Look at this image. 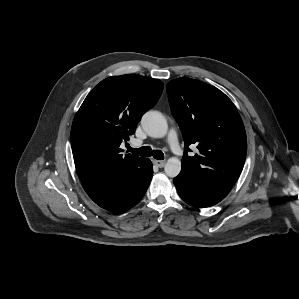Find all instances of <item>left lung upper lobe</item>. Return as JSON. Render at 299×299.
Returning a JSON list of instances; mask_svg holds the SVG:
<instances>
[{"label": "left lung upper lobe", "instance_id": "1", "mask_svg": "<svg viewBox=\"0 0 299 299\" xmlns=\"http://www.w3.org/2000/svg\"><path fill=\"white\" fill-rule=\"evenodd\" d=\"M167 94L184 138L181 173L230 191L243 169L247 139L233 102L219 89L190 78L171 80ZM198 154L190 157L189 145Z\"/></svg>", "mask_w": 299, "mask_h": 299}]
</instances>
